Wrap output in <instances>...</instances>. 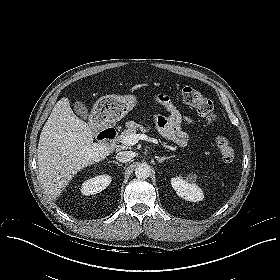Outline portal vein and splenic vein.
Instances as JSON below:
<instances>
[{
    "label": "portal vein and splenic vein",
    "instance_id": "1",
    "mask_svg": "<svg viewBox=\"0 0 280 280\" xmlns=\"http://www.w3.org/2000/svg\"><path fill=\"white\" fill-rule=\"evenodd\" d=\"M139 140H145L148 142L156 143V140L154 138H150L145 134H136V133H132L130 135L123 137L121 139V142L124 145L132 146L135 145Z\"/></svg>",
    "mask_w": 280,
    "mask_h": 280
}]
</instances>
